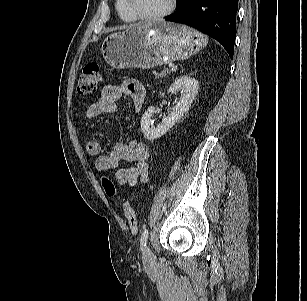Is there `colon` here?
Listing matches in <instances>:
<instances>
[{"label":"colon","mask_w":307,"mask_h":301,"mask_svg":"<svg viewBox=\"0 0 307 301\" xmlns=\"http://www.w3.org/2000/svg\"><path fill=\"white\" fill-rule=\"evenodd\" d=\"M101 81V70L97 63L91 62L85 65L83 73L77 82V93L80 96L88 97L94 95ZM102 186L106 194L110 197L117 196V189L113 181L108 176L102 177ZM121 207L132 231L137 230L136 213L131 204L124 198H121Z\"/></svg>","instance_id":"1"}]
</instances>
